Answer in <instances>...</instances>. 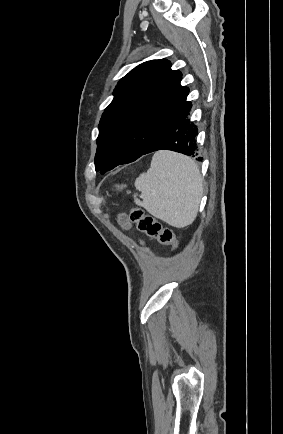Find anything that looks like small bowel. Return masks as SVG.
<instances>
[{"mask_svg": "<svg viewBox=\"0 0 283 434\" xmlns=\"http://www.w3.org/2000/svg\"><path fill=\"white\" fill-rule=\"evenodd\" d=\"M119 222L125 228H129L130 227V222H129V220L127 219V217L125 215H121L119 217Z\"/></svg>", "mask_w": 283, "mask_h": 434, "instance_id": "c3829d8e", "label": "small bowel"}]
</instances>
